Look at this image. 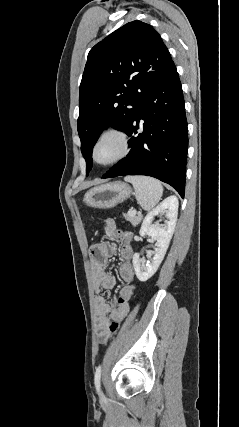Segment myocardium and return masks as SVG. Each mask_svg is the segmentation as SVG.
Masks as SVG:
<instances>
[{"mask_svg": "<svg viewBox=\"0 0 239 427\" xmlns=\"http://www.w3.org/2000/svg\"><path fill=\"white\" fill-rule=\"evenodd\" d=\"M109 136L117 137L120 140L121 145H122L121 152L116 158H114L111 161L100 162L96 158V149H97L99 143L104 138L109 137ZM130 149H131V140H130V136L128 135V133L122 129H119V128H109V129L104 130L102 133H100V135L95 140V142L92 146L91 156H92L93 161L96 164L103 166V167H110V166L116 165L117 163H119L123 159H125L128 156Z\"/></svg>", "mask_w": 239, "mask_h": 427, "instance_id": "myocardium-1", "label": "myocardium"}]
</instances>
